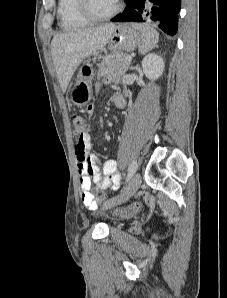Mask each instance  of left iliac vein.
Segmentation results:
<instances>
[{"instance_id": "obj_1", "label": "left iliac vein", "mask_w": 227, "mask_h": 298, "mask_svg": "<svg viewBox=\"0 0 227 298\" xmlns=\"http://www.w3.org/2000/svg\"><path fill=\"white\" fill-rule=\"evenodd\" d=\"M140 184L141 175L139 173H136L129 181L125 189L118 196L110 199L107 203H105V205L102 207V210L111 208L127 201L138 190Z\"/></svg>"}]
</instances>
